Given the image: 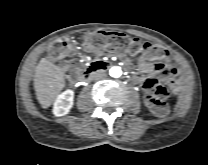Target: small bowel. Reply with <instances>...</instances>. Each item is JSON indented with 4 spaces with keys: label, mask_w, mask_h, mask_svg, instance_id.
Instances as JSON below:
<instances>
[{
    "label": "small bowel",
    "mask_w": 208,
    "mask_h": 165,
    "mask_svg": "<svg viewBox=\"0 0 208 165\" xmlns=\"http://www.w3.org/2000/svg\"><path fill=\"white\" fill-rule=\"evenodd\" d=\"M125 64L128 65L127 60H125ZM67 65L62 71L61 77L69 88L74 89L78 85V72L81 65L77 58H70ZM138 66L139 72L134 74L133 79L136 82L143 83L144 89L147 92L146 103L148 106L147 97L154 94L157 86H161L156 79L157 77L173 87L178 86L182 82L183 77L179 65L167 58L155 60L151 53L142 52L139 57ZM145 75L149 76L146 77Z\"/></svg>",
    "instance_id": "obj_1"
}]
</instances>
